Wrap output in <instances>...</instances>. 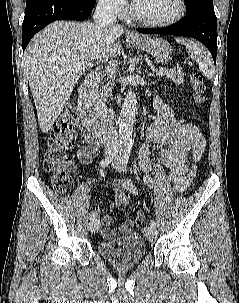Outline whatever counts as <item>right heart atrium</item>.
<instances>
[{
  "label": "right heart atrium",
  "mask_w": 239,
  "mask_h": 303,
  "mask_svg": "<svg viewBox=\"0 0 239 303\" xmlns=\"http://www.w3.org/2000/svg\"><path fill=\"white\" fill-rule=\"evenodd\" d=\"M98 2L102 8L119 17L125 16L128 12L125 0H98Z\"/></svg>",
  "instance_id": "right-heart-atrium-1"
}]
</instances>
